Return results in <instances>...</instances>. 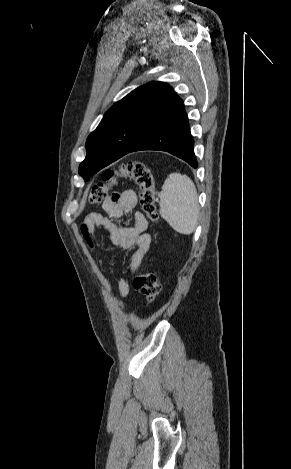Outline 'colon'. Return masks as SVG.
Returning a JSON list of instances; mask_svg holds the SVG:
<instances>
[{
    "mask_svg": "<svg viewBox=\"0 0 291 469\" xmlns=\"http://www.w3.org/2000/svg\"><path fill=\"white\" fill-rule=\"evenodd\" d=\"M119 179H131L138 185L142 210L151 222L157 223L159 218L154 176L150 168L140 162H129L117 170H106L102 175V181L91 189L89 202L97 204L105 201ZM134 272V288L141 293L145 304L153 302L161 291L157 277L151 272L138 269V267Z\"/></svg>",
    "mask_w": 291,
    "mask_h": 469,
    "instance_id": "colon-1",
    "label": "colon"
}]
</instances>
